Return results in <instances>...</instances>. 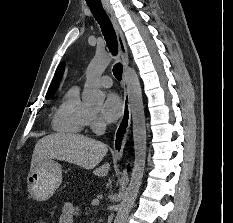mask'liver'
Wrapping results in <instances>:
<instances>
[{
  "label": "liver",
  "mask_w": 233,
  "mask_h": 223,
  "mask_svg": "<svg viewBox=\"0 0 233 223\" xmlns=\"http://www.w3.org/2000/svg\"><path fill=\"white\" fill-rule=\"evenodd\" d=\"M108 145L92 137H85L79 133H50L37 141L32 155L31 167L38 159L51 157L68 163H75L84 169H94L92 173L105 177L110 169L109 161L99 165L107 155ZM99 165V167H96Z\"/></svg>",
  "instance_id": "liver-1"
}]
</instances>
